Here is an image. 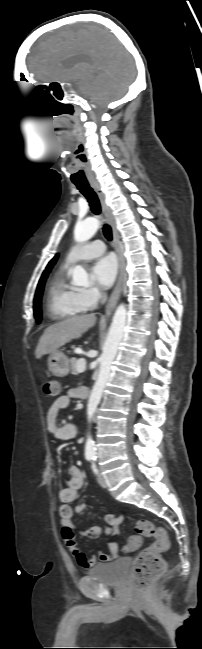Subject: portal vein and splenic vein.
I'll return each instance as SVG.
<instances>
[{
    "label": "portal vein and splenic vein",
    "mask_w": 202,
    "mask_h": 649,
    "mask_svg": "<svg viewBox=\"0 0 202 649\" xmlns=\"http://www.w3.org/2000/svg\"><path fill=\"white\" fill-rule=\"evenodd\" d=\"M77 369L80 373H83L86 370V362L84 359H80L77 362Z\"/></svg>",
    "instance_id": "portal-vein-and-splenic-vein-1"
}]
</instances>
